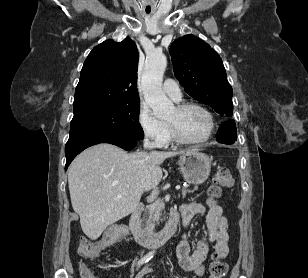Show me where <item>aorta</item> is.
I'll return each instance as SVG.
<instances>
[{"mask_svg": "<svg viewBox=\"0 0 308 278\" xmlns=\"http://www.w3.org/2000/svg\"><path fill=\"white\" fill-rule=\"evenodd\" d=\"M167 66L166 56L155 53L147 57L142 75V88L146 103L158 118H163L174 108L162 91L163 75Z\"/></svg>", "mask_w": 308, "mask_h": 278, "instance_id": "aorta-1", "label": "aorta"}]
</instances>
